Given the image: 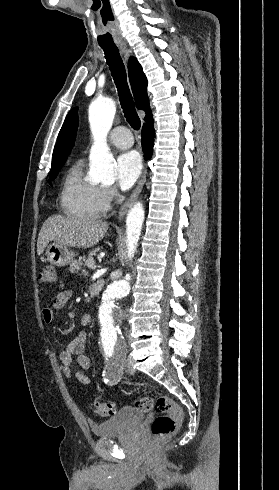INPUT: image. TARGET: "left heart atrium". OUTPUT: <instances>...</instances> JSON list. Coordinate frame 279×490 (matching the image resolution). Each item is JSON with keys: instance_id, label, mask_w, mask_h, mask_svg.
Masks as SVG:
<instances>
[{"instance_id": "1", "label": "left heart atrium", "mask_w": 279, "mask_h": 490, "mask_svg": "<svg viewBox=\"0 0 279 490\" xmlns=\"http://www.w3.org/2000/svg\"><path fill=\"white\" fill-rule=\"evenodd\" d=\"M143 169L140 155L135 151L121 154L117 159V181L119 186L127 190L139 179Z\"/></svg>"}]
</instances>
